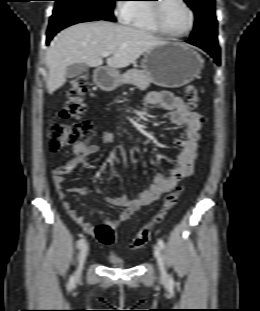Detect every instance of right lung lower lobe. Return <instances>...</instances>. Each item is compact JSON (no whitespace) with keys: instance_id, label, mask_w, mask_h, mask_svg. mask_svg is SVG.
<instances>
[{"instance_id":"obj_1","label":"right lung lower lobe","mask_w":260,"mask_h":311,"mask_svg":"<svg viewBox=\"0 0 260 311\" xmlns=\"http://www.w3.org/2000/svg\"><path fill=\"white\" fill-rule=\"evenodd\" d=\"M100 19L96 18H87V17H76V16H60L58 18H51L48 31H47V41L46 43L49 44L50 40L53 36L59 32L60 30L76 24L80 22H88V21H96Z\"/></svg>"}]
</instances>
